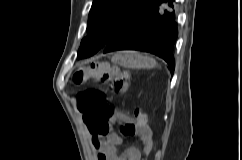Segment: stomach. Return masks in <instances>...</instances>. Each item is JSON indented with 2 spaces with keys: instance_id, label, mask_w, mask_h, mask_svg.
I'll return each instance as SVG.
<instances>
[{
  "instance_id": "0dacf381",
  "label": "stomach",
  "mask_w": 242,
  "mask_h": 160,
  "mask_svg": "<svg viewBox=\"0 0 242 160\" xmlns=\"http://www.w3.org/2000/svg\"><path fill=\"white\" fill-rule=\"evenodd\" d=\"M112 61L126 68H144L153 67L155 63L151 58L143 56L134 51H122L112 57Z\"/></svg>"
}]
</instances>
